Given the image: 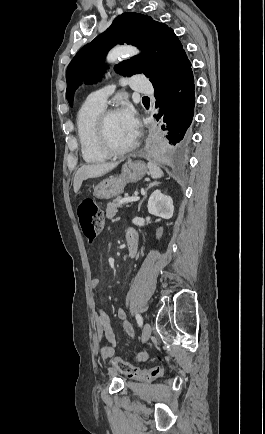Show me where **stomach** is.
<instances>
[{
  "label": "stomach",
  "instance_id": "0dacf381",
  "mask_svg": "<svg viewBox=\"0 0 265 434\" xmlns=\"http://www.w3.org/2000/svg\"><path fill=\"white\" fill-rule=\"evenodd\" d=\"M148 168L144 162H126L122 168L121 176H110L107 180H102L94 188L93 196L100 200H109L114 196L123 194L124 188L128 182H138L147 174Z\"/></svg>",
  "mask_w": 265,
  "mask_h": 434
}]
</instances>
